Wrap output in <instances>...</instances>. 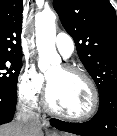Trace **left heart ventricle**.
Returning <instances> with one entry per match:
<instances>
[{
	"label": "left heart ventricle",
	"mask_w": 117,
	"mask_h": 136,
	"mask_svg": "<svg viewBox=\"0 0 117 136\" xmlns=\"http://www.w3.org/2000/svg\"><path fill=\"white\" fill-rule=\"evenodd\" d=\"M51 106L68 115H82L91 106L92 96L85 80L67 73L62 67L51 71L48 76Z\"/></svg>",
	"instance_id": "left-heart-ventricle-1"
}]
</instances>
